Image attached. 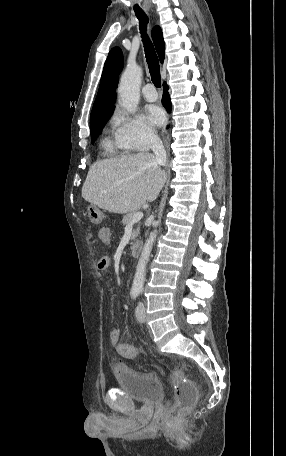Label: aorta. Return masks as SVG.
Returning <instances> with one entry per match:
<instances>
[{
	"mask_svg": "<svg viewBox=\"0 0 286 456\" xmlns=\"http://www.w3.org/2000/svg\"><path fill=\"white\" fill-rule=\"evenodd\" d=\"M141 78L142 69L136 64L128 65L121 76L118 86L119 103L129 113H135L137 110ZM156 234L157 230L152 231L143 246L132 283L133 290L142 291L143 289L146 267L156 239Z\"/></svg>",
	"mask_w": 286,
	"mask_h": 456,
	"instance_id": "762f6f07",
	"label": "aorta"
}]
</instances>
